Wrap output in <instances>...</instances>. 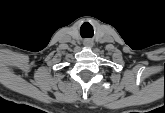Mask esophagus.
Instances as JSON below:
<instances>
[{
	"instance_id": "esophagus-1",
	"label": "esophagus",
	"mask_w": 165,
	"mask_h": 113,
	"mask_svg": "<svg viewBox=\"0 0 165 113\" xmlns=\"http://www.w3.org/2000/svg\"><path fill=\"white\" fill-rule=\"evenodd\" d=\"M84 45L87 46V47H92L93 46V42L91 40H86L84 42Z\"/></svg>"
}]
</instances>
